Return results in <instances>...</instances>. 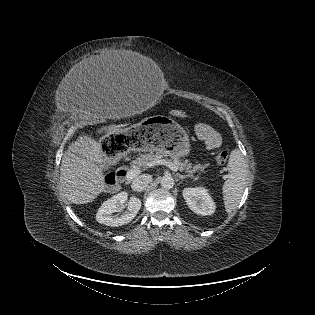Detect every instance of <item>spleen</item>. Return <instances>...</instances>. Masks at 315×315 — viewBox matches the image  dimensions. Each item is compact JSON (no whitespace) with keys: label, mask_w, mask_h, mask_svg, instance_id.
<instances>
[{"label":"spleen","mask_w":315,"mask_h":315,"mask_svg":"<svg viewBox=\"0 0 315 315\" xmlns=\"http://www.w3.org/2000/svg\"><path fill=\"white\" fill-rule=\"evenodd\" d=\"M248 165L241 151L234 149L228 161V178L222 187L227 213H231L239 204L244 192Z\"/></svg>","instance_id":"spleen-1"}]
</instances>
